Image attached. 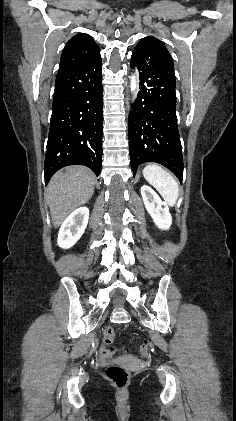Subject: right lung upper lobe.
I'll use <instances>...</instances> for the list:
<instances>
[{
    "mask_svg": "<svg viewBox=\"0 0 236 421\" xmlns=\"http://www.w3.org/2000/svg\"><path fill=\"white\" fill-rule=\"evenodd\" d=\"M98 57H100L99 47L92 37L88 34L80 33L67 42L62 52L59 70L67 69Z\"/></svg>",
    "mask_w": 236,
    "mask_h": 421,
    "instance_id": "cb5924a9",
    "label": "right lung upper lobe"
}]
</instances>
